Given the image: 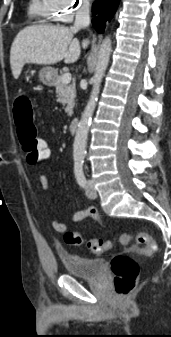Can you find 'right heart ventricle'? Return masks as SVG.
Wrapping results in <instances>:
<instances>
[{
    "label": "right heart ventricle",
    "instance_id": "right-heart-ventricle-1",
    "mask_svg": "<svg viewBox=\"0 0 171 337\" xmlns=\"http://www.w3.org/2000/svg\"><path fill=\"white\" fill-rule=\"evenodd\" d=\"M29 13L40 19L42 22L55 20V14L50 6L49 0H31L29 4Z\"/></svg>",
    "mask_w": 171,
    "mask_h": 337
}]
</instances>
